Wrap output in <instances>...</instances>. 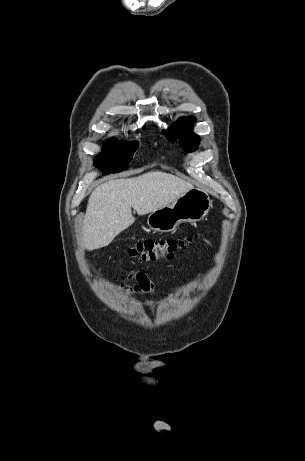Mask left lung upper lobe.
<instances>
[{"mask_svg":"<svg viewBox=\"0 0 305 461\" xmlns=\"http://www.w3.org/2000/svg\"><path fill=\"white\" fill-rule=\"evenodd\" d=\"M194 122L195 119L192 117L178 120L175 125L166 131L168 139L174 142L179 138V142L186 152L196 150L199 144V137L192 133Z\"/></svg>","mask_w":305,"mask_h":461,"instance_id":"obj_1","label":"left lung upper lobe"}]
</instances>
